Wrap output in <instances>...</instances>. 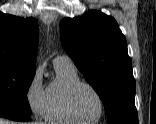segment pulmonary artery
Returning a JSON list of instances; mask_svg holds the SVG:
<instances>
[{"label": "pulmonary artery", "mask_w": 156, "mask_h": 124, "mask_svg": "<svg viewBox=\"0 0 156 124\" xmlns=\"http://www.w3.org/2000/svg\"><path fill=\"white\" fill-rule=\"evenodd\" d=\"M54 65H58V64H65V65H70V66H74L72 60L65 55H57L54 60H53Z\"/></svg>", "instance_id": "pulmonary-artery-1"}]
</instances>
